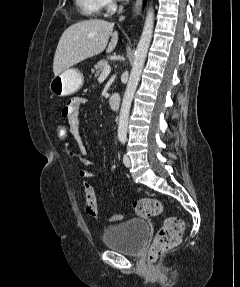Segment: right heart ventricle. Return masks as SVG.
<instances>
[{
	"instance_id": "e07e8e85",
	"label": "right heart ventricle",
	"mask_w": 240,
	"mask_h": 287,
	"mask_svg": "<svg viewBox=\"0 0 240 287\" xmlns=\"http://www.w3.org/2000/svg\"><path fill=\"white\" fill-rule=\"evenodd\" d=\"M77 7L86 17H96L102 9L101 0H75Z\"/></svg>"
}]
</instances>
